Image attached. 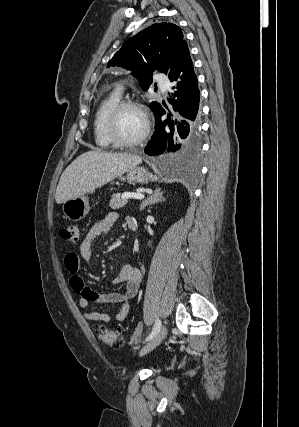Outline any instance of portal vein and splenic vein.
<instances>
[{"instance_id": "18ae733b", "label": "portal vein and splenic vein", "mask_w": 299, "mask_h": 427, "mask_svg": "<svg viewBox=\"0 0 299 427\" xmlns=\"http://www.w3.org/2000/svg\"><path fill=\"white\" fill-rule=\"evenodd\" d=\"M122 198L123 199H129V198H132V199H143L144 195L143 194H134V193H125V194L122 195Z\"/></svg>"}]
</instances>
